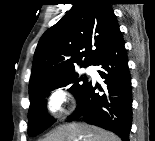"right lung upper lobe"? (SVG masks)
Instances as JSON below:
<instances>
[{"label":"right lung upper lobe","instance_id":"cb5924a9","mask_svg":"<svg viewBox=\"0 0 155 141\" xmlns=\"http://www.w3.org/2000/svg\"><path fill=\"white\" fill-rule=\"evenodd\" d=\"M108 0H78L37 45L29 88L42 80L93 65L120 33Z\"/></svg>","mask_w":155,"mask_h":141}]
</instances>
